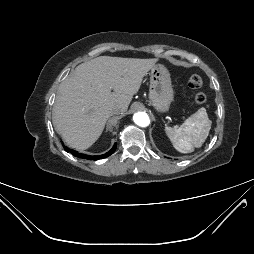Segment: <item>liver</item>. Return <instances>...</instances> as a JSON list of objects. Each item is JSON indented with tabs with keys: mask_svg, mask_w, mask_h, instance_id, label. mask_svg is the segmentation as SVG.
I'll use <instances>...</instances> for the list:
<instances>
[{
	"mask_svg": "<svg viewBox=\"0 0 254 254\" xmlns=\"http://www.w3.org/2000/svg\"><path fill=\"white\" fill-rule=\"evenodd\" d=\"M156 62L100 56L78 65L59 86L53 107L56 131L72 148L91 147L102 134L110 110L118 106L127 111Z\"/></svg>",
	"mask_w": 254,
	"mask_h": 254,
	"instance_id": "1",
	"label": "liver"
}]
</instances>
